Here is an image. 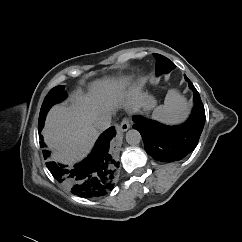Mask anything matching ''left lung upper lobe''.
<instances>
[{
    "label": "left lung upper lobe",
    "instance_id": "1",
    "mask_svg": "<svg viewBox=\"0 0 242 242\" xmlns=\"http://www.w3.org/2000/svg\"><path fill=\"white\" fill-rule=\"evenodd\" d=\"M153 55L157 60L155 69L157 75H160L162 72H169L175 67V64L171 62L168 58L156 53H154Z\"/></svg>",
    "mask_w": 242,
    "mask_h": 242
}]
</instances>
